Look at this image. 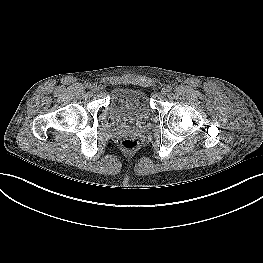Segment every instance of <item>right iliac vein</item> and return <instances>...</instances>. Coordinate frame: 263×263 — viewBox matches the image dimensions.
I'll return each instance as SVG.
<instances>
[{
  "mask_svg": "<svg viewBox=\"0 0 263 263\" xmlns=\"http://www.w3.org/2000/svg\"><path fill=\"white\" fill-rule=\"evenodd\" d=\"M92 91H93V92H98V91H99V88L94 85V86L92 87Z\"/></svg>",
  "mask_w": 263,
  "mask_h": 263,
  "instance_id": "63e3f726",
  "label": "right iliac vein"
}]
</instances>
